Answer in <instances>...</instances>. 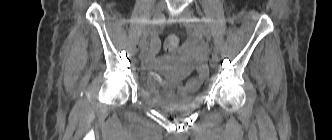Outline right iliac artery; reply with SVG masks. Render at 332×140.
<instances>
[{
  "mask_svg": "<svg viewBox=\"0 0 332 140\" xmlns=\"http://www.w3.org/2000/svg\"><path fill=\"white\" fill-rule=\"evenodd\" d=\"M153 23V21H151V22H149V24H152ZM150 26H148L147 28H146V30L149 28ZM146 30H145V32H146Z\"/></svg>",
  "mask_w": 332,
  "mask_h": 140,
  "instance_id": "obj_1",
  "label": "right iliac artery"
}]
</instances>
